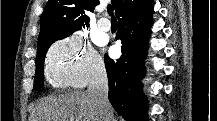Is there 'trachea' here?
I'll use <instances>...</instances> for the list:
<instances>
[{
	"instance_id": "1",
	"label": "trachea",
	"mask_w": 217,
	"mask_h": 121,
	"mask_svg": "<svg viewBox=\"0 0 217 121\" xmlns=\"http://www.w3.org/2000/svg\"><path fill=\"white\" fill-rule=\"evenodd\" d=\"M107 11L109 13V15L111 16L112 19H116L115 16H114V13H113V7L111 5H109L107 7Z\"/></svg>"
}]
</instances>
